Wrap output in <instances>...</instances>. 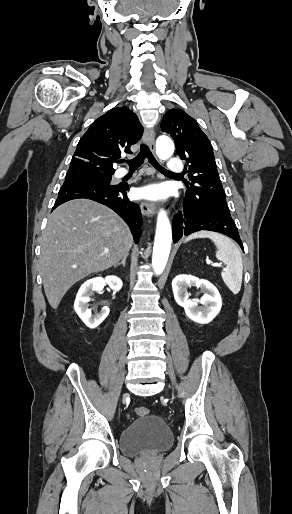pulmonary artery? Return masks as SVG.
<instances>
[{
  "instance_id": "obj_1",
  "label": "pulmonary artery",
  "mask_w": 292,
  "mask_h": 514,
  "mask_svg": "<svg viewBox=\"0 0 292 514\" xmlns=\"http://www.w3.org/2000/svg\"><path fill=\"white\" fill-rule=\"evenodd\" d=\"M167 168L170 172H182L184 170V163L182 161H177L175 157H170L168 159ZM117 175L122 177L125 175V172L119 171Z\"/></svg>"
}]
</instances>
